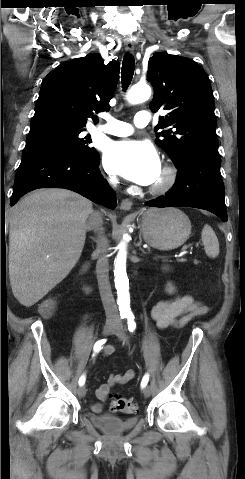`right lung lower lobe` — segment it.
I'll return each instance as SVG.
<instances>
[{
    "label": "right lung lower lobe",
    "mask_w": 245,
    "mask_h": 479,
    "mask_svg": "<svg viewBox=\"0 0 245 479\" xmlns=\"http://www.w3.org/2000/svg\"><path fill=\"white\" fill-rule=\"evenodd\" d=\"M99 158L62 149L46 150L22 158L15 176L10 204L38 189L58 187L72 190L109 208L117 205L114 191L101 175Z\"/></svg>",
    "instance_id": "1"
}]
</instances>
